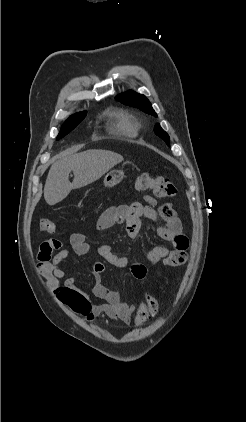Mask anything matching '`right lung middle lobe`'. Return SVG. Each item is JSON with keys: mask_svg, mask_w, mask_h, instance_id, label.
Wrapping results in <instances>:
<instances>
[{"mask_svg": "<svg viewBox=\"0 0 246 422\" xmlns=\"http://www.w3.org/2000/svg\"><path fill=\"white\" fill-rule=\"evenodd\" d=\"M86 116V111L77 113L71 116L62 126L61 132L57 136V139L62 138L66 134H68L71 130H73Z\"/></svg>", "mask_w": 246, "mask_h": 422, "instance_id": "obj_1", "label": "right lung middle lobe"}]
</instances>
